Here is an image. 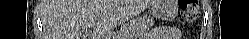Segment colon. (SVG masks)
I'll list each match as a JSON object with an SVG mask.
<instances>
[{"label":"colon","instance_id":"1","mask_svg":"<svg viewBox=\"0 0 249 39\" xmlns=\"http://www.w3.org/2000/svg\"><path fill=\"white\" fill-rule=\"evenodd\" d=\"M180 8L185 23H192L198 18L199 8L195 0H182Z\"/></svg>","mask_w":249,"mask_h":39}]
</instances>
